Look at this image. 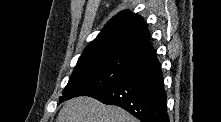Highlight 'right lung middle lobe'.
Returning <instances> with one entry per match:
<instances>
[{"instance_id": "dd1d6c3e", "label": "right lung middle lobe", "mask_w": 221, "mask_h": 122, "mask_svg": "<svg viewBox=\"0 0 221 122\" xmlns=\"http://www.w3.org/2000/svg\"><path fill=\"white\" fill-rule=\"evenodd\" d=\"M122 57H103L77 64L60 101L88 96L120 80L136 63Z\"/></svg>"}]
</instances>
